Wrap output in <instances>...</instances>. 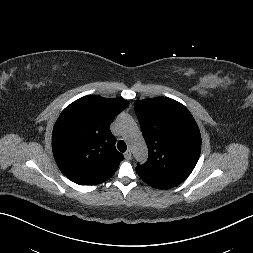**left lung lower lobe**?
I'll use <instances>...</instances> for the list:
<instances>
[{
    "label": "left lung lower lobe",
    "mask_w": 253,
    "mask_h": 253,
    "mask_svg": "<svg viewBox=\"0 0 253 253\" xmlns=\"http://www.w3.org/2000/svg\"><path fill=\"white\" fill-rule=\"evenodd\" d=\"M150 186L157 188V189H169V188L173 187V186L163 185V184H154V185H150Z\"/></svg>",
    "instance_id": "obj_1"
}]
</instances>
